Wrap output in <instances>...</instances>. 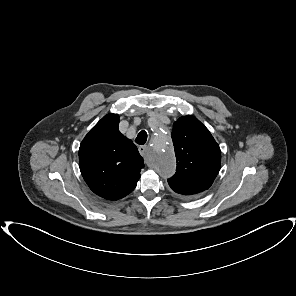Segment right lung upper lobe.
<instances>
[{
  "mask_svg": "<svg viewBox=\"0 0 296 296\" xmlns=\"http://www.w3.org/2000/svg\"><path fill=\"white\" fill-rule=\"evenodd\" d=\"M81 174L97 195L118 200L136 187L143 158L119 131V116L105 115L85 136L79 148Z\"/></svg>",
  "mask_w": 296,
  "mask_h": 296,
  "instance_id": "right-lung-upper-lobe-1",
  "label": "right lung upper lobe"
}]
</instances>
